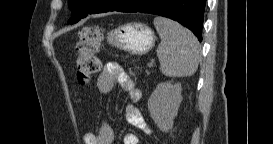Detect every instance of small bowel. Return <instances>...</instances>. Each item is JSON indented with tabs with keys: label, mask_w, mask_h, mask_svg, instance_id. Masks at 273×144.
<instances>
[{
	"label": "small bowel",
	"mask_w": 273,
	"mask_h": 144,
	"mask_svg": "<svg viewBox=\"0 0 273 144\" xmlns=\"http://www.w3.org/2000/svg\"><path fill=\"white\" fill-rule=\"evenodd\" d=\"M115 84H118L126 94L127 99L131 102L126 107L127 121L144 131L147 134H151V130L146 123L144 117L140 111L133 105L141 97L140 90L135 86L132 78L126 74L120 66L116 64H108L101 71L98 80L97 87L101 93H108ZM114 132L113 129L103 124L96 133H86L84 135L85 144H111L113 142ZM124 144H138L139 139L135 133L128 132L123 137Z\"/></svg>",
	"instance_id": "c3829d8e"
}]
</instances>
